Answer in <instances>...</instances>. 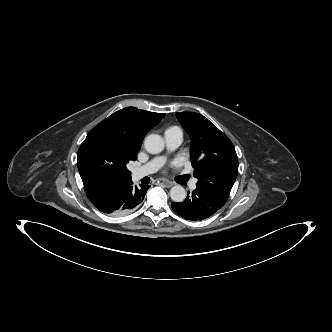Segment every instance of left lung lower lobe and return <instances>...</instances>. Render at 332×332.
Returning <instances> with one entry per match:
<instances>
[{"instance_id": "obj_1", "label": "left lung lower lobe", "mask_w": 332, "mask_h": 332, "mask_svg": "<svg viewBox=\"0 0 332 332\" xmlns=\"http://www.w3.org/2000/svg\"><path fill=\"white\" fill-rule=\"evenodd\" d=\"M224 204L196 188L182 203L171 204L172 209L187 220L201 221L213 215Z\"/></svg>"}]
</instances>
